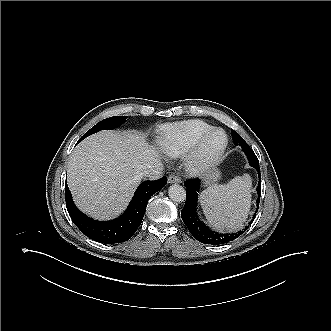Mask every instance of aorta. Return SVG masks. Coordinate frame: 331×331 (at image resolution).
I'll list each match as a JSON object with an SVG mask.
<instances>
[{
  "label": "aorta",
  "mask_w": 331,
  "mask_h": 331,
  "mask_svg": "<svg viewBox=\"0 0 331 331\" xmlns=\"http://www.w3.org/2000/svg\"><path fill=\"white\" fill-rule=\"evenodd\" d=\"M171 200L175 202H184L186 200V190L179 184H173L168 189Z\"/></svg>",
  "instance_id": "aorta-1"
}]
</instances>
